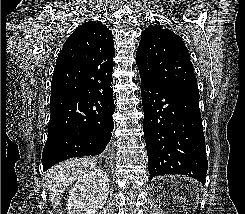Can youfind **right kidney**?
I'll return each mask as SVG.
<instances>
[{
    "instance_id": "1",
    "label": "right kidney",
    "mask_w": 245,
    "mask_h": 214,
    "mask_svg": "<svg viewBox=\"0 0 245 214\" xmlns=\"http://www.w3.org/2000/svg\"><path fill=\"white\" fill-rule=\"evenodd\" d=\"M109 177L102 169H93L80 177L69 193L67 214H95L106 203Z\"/></svg>"
}]
</instances>
